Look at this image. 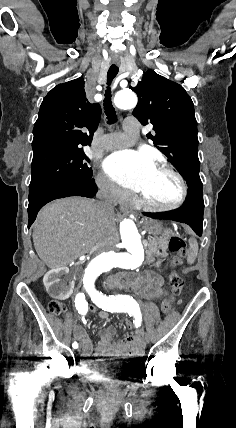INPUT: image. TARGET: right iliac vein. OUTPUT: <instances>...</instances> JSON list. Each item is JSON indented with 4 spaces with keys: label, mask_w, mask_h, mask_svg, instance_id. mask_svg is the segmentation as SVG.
Here are the masks:
<instances>
[{
    "label": "right iliac vein",
    "mask_w": 236,
    "mask_h": 428,
    "mask_svg": "<svg viewBox=\"0 0 236 428\" xmlns=\"http://www.w3.org/2000/svg\"><path fill=\"white\" fill-rule=\"evenodd\" d=\"M82 342H83L82 340L79 341V346H78L79 348L77 349L78 351L81 349L80 347H82Z\"/></svg>",
    "instance_id": "right-iliac-vein-1"
}]
</instances>
